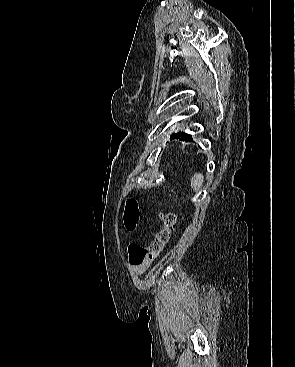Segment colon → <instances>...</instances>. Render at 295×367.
<instances>
[{"label":"colon","instance_id":"5ec220e1","mask_svg":"<svg viewBox=\"0 0 295 367\" xmlns=\"http://www.w3.org/2000/svg\"><path fill=\"white\" fill-rule=\"evenodd\" d=\"M140 211L135 199L131 198L127 201L124 212V225L127 230H134L138 224ZM163 226L155 235L153 242L143 248L137 244H130L128 247L129 261L133 265H143L153 263L164 250L169 242L172 230L177 222V213L169 211L161 214Z\"/></svg>","mask_w":295,"mask_h":367}]
</instances>
